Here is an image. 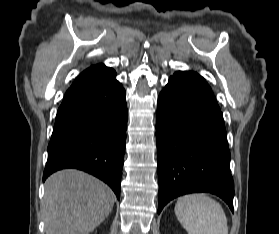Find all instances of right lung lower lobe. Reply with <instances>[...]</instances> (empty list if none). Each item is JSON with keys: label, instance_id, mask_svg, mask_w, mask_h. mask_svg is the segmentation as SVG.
<instances>
[{"label": "right lung lower lobe", "instance_id": "obj_1", "mask_svg": "<svg viewBox=\"0 0 279 234\" xmlns=\"http://www.w3.org/2000/svg\"><path fill=\"white\" fill-rule=\"evenodd\" d=\"M126 129V92L115 70L98 64L83 71L58 109L43 181L76 168L103 180L119 199Z\"/></svg>", "mask_w": 279, "mask_h": 234}]
</instances>
